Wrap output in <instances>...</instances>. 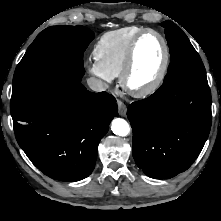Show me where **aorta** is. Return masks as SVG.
<instances>
[{"label":"aorta","mask_w":221,"mask_h":221,"mask_svg":"<svg viewBox=\"0 0 221 221\" xmlns=\"http://www.w3.org/2000/svg\"><path fill=\"white\" fill-rule=\"evenodd\" d=\"M111 130L118 136H127L130 132V126L126 120L115 118L111 123Z\"/></svg>","instance_id":"aorta-1"}]
</instances>
